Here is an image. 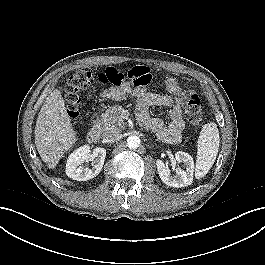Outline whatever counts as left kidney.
I'll return each mask as SVG.
<instances>
[{
  "label": "left kidney",
  "mask_w": 265,
  "mask_h": 265,
  "mask_svg": "<svg viewBox=\"0 0 265 265\" xmlns=\"http://www.w3.org/2000/svg\"><path fill=\"white\" fill-rule=\"evenodd\" d=\"M175 158L177 162H183L186 170H182L177 167L175 169V175L172 176L170 169L165 166L162 160L156 161V166L158 174L163 183L170 187H186L190 185L193 181L194 172V161L193 158L186 152L178 151L175 153Z\"/></svg>",
  "instance_id": "1"
}]
</instances>
